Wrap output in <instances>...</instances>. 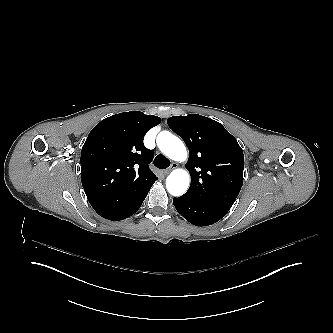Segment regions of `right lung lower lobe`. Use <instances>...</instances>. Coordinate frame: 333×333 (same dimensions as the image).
<instances>
[{"mask_svg": "<svg viewBox=\"0 0 333 333\" xmlns=\"http://www.w3.org/2000/svg\"><path fill=\"white\" fill-rule=\"evenodd\" d=\"M158 178L151 172L135 177H116L101 165L81 171L86 196L94 210L109 220H123L138 211Z\"/></svg>", "mask_w": 333, "mask_h": 333, "instance_id": "98d812e1", "label": "right lung lower lobe"}]
</instances>
